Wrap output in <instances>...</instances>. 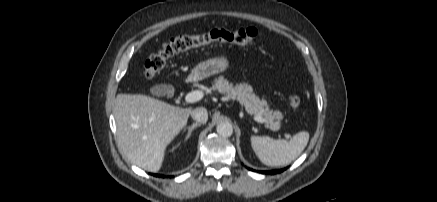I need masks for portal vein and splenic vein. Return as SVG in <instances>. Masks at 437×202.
<instances>
[{"instance_id":"1","label":"portal vein and splenic vein","mask_w":437,"mask_h":202,"mask_svg":"<svg viewBox=\"0 0 437 202\" xmlns=\"http://www.w3.org/2000/svg\"><path fill=\"white\" fill-rule=\"evenodd\" d=\"M202 98H203V92L199 91V90H195V91L189 92L185 96V102L186 103H194V102L201 100ZM254 119L259 123H267V121L260 116H255ZM286 137L290 138V135L286 134Z\"/></svg>"}]
</instances>
